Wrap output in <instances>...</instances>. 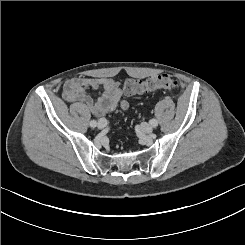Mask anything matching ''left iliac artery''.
Masks as SVG:
<instances>
[{
    "label": "left iliac artery",
    "instance_id": "44dca946",
    "mask_svg": "<svg viewBox=\"0 0 245 245\" xmlns=\"http://www.w3.org/2000/svg\"><path fill=\"white\" fill-rule=\"evenodd\" d=\"M149 123H150V125H151L152 127H156V126L158 125V122H157V120H155V119H151V120L149 121Z\"/></svg>",
    "mask_w": 245,
    "mask_h": 245
}]
</instances>
